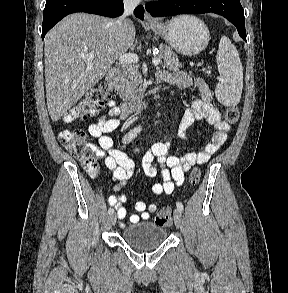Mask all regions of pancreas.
Segmentation results:
<instances>
[{
  "instance_id": "1",
  "label": "pancreas",
  "mask_w": 288,
  "mask_h": 293,
  "mask_svg": "<svg viewBox=\"0 0 288 293\" xmlns=\"http://www.w3.org/2000/svg\"><path fill=\"white\" fill-rule=\"evenodd\" d=\"M158 57L162 59L161 65L173 72H178L182 67L176 53L172 48L161 44ZM143 80L139 72V65L134 62H122L117 68L115 90L126 101H134L140 98L145 91Z\"/></svg>"
}]
</instances>
